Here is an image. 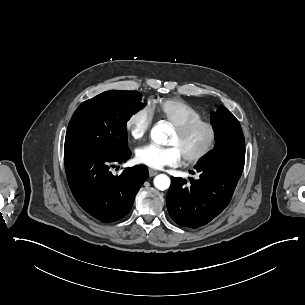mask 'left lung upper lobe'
I'll return each instance as SVG.
<instances>
[{"instance_id": "1", "label": "left lung upper lobe", "mask_w": 305, "mask_h": 305, "mask_svg": "<svg viewBox=\"0 0 305 305\" xmlns=\"http://www.w3.org/2000/svg\"><path fill=\"white\" fill-rule=\"evenodd\" d=\"M211 123L216 145L201 163L214 160L245 161V139L236 117L220 106L217 112H212Z\"/></svg>"}]
</instances>
